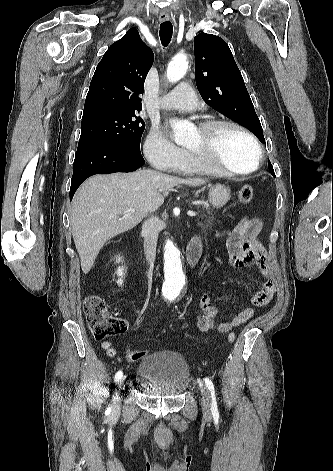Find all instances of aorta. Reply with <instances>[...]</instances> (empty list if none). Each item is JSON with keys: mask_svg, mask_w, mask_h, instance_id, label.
<instances>
[{"mask_svg": "<svg viewBox=\"0 0 333 471\" xmlns=\"http://www.w3.org/2000/svg\"><path fill=\"white\" fill-rule=\"evenodd\" d=\"M188 61L185 55H176L168 64L166 76L169 82L179 81L186 73ZM192 124L187 121L173 120L172 128L174 140L177 144L183 143L188 136ZM165 281L162 293L165 298L181 296L184 292L185 277L179 249L170 240L164 247Z\"/></svg>", "mask_w": 333, "mask_h": 471, "instance_id": "aorta-1", "label": "aorta"}]
</instances>
